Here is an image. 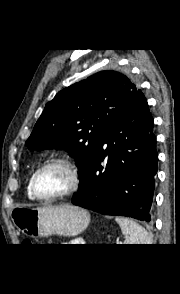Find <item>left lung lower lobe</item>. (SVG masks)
Returning <instances> with one entry per match:
<instances>
[{"mask_svg":"<svg viewBox=\"0 0 180 294\" xmlns=\"http://www.w3.org/2000/svg\"><path fill=\"white\" fill-rule=\"evenodd\" d=\"M153 124L145 96L138 91L103 139L71 202L104 215L149 222L158 169Z\"/></svg>","mask_w":180,"mask_h":294,"instance_id":"left-lung-lower-lobe-1","label":"left lung lower lobe"}]
</instances>
